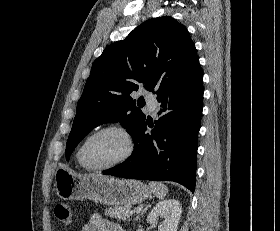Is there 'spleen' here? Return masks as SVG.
<instances>
[{
  "mask_svg": "<svg viewBox=\"0 0 280 231\" xmlns=\"http://www.w3.org/2000/svg\"><path fill=\"white\" fill-rule=\"evenodd\" d=\"M149 187H151L153 193H155L156 197H159V199H163L166 193H168V187H166L164 183H161V181H150Z\"/></svg>",
  "mask_w": 280,
  "mask_h": 231,
  "instance_id": "3e777b00",
  "label": "spleen"
}]
</instances>
